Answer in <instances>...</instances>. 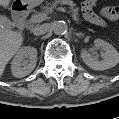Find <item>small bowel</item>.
<instances>
[{
	"label": "small bowel",
	"mask_w": 119,
	"mask_h": 119,
	"mask_svg": "<svg viewBox=\"0 0 119 119\" xmlns=\"http://www.w3.org/2000/svg\"><path fill=\"white\" fill-rule=\"evenodd\" d=\"M94 1H85L82 3V13L89 22L105 26L108 21H114L119 16V9L117 7H103L99 12L94 10Z\"/></svg>",
	"instance_id": "small-bowel-1"
}]
</instances>
